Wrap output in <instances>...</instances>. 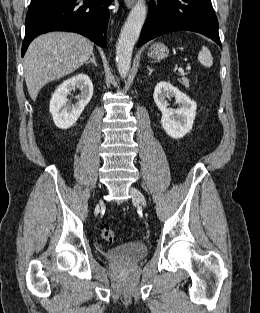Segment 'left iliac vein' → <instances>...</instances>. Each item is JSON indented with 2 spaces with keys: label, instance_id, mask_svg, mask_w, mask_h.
<instances>
[{
  "label": "left iliac vein",
  "instance_id": "4c4485c4",
  "mask_svg": "<svg viewBox=\"0 0 260 313\" xmlns=\"http://www.w3.org/2000/svg\"><path fill=\"white\" fill-rule=\"evenodd\" d=\"M130 192L133 196L134 201H137L138 203H140L142 207H146V200H145L144 195L141 193V191H139L137 188L132 187Z\"/></svg>",
  "mask_w": 260,
  "mask_h": 313
}]
</instances>
